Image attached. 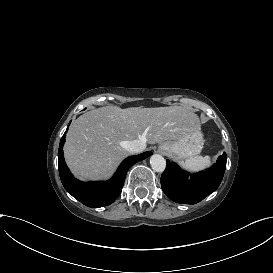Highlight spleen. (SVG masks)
Returning a JSON list of instances; mask_svg holds the SVG:
<instances>
[{
    "instance_id": "obj_1",
    "label": "spleen",
    "mask_w": 273,
    "mask_h": 273,
    "mask_svg": "<svg viewBox=\"0 0 273 273\" xmlns=\"http://www.w3.org/2000/svg\"><path fill=\"white\" fill-rule=\"evenodd\" d=\"M179 163L185 169L190 171H198L209 166L211 161L209 156H194L186 159L185 161H180Z\"/></svg>"
}]
</instances>
